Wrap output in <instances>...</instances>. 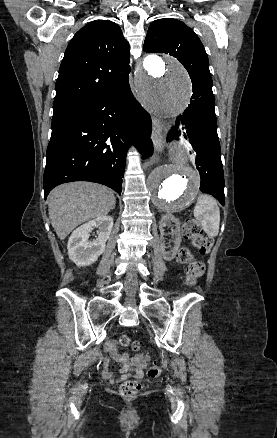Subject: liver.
I'll use <instances>...</instances> for the list:
<instances>
[{"label":"liver","instance_id":"liver-1","mask_svg":"<svg viewBox=\"0 0 277 438\" xmlns=\"http://www.w3.org/2000/svg\"><path fill=\"white\" fill-rule=\"evenodd\" d=\"M116 198L108 188L90 182H72L57 186L49 194V218L60 240L93 218L107 216Z\"/></svg>","mask_w":277,"mask_h":438}]
</instances>
